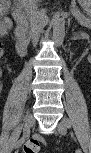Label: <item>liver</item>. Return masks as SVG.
Here are the masks:
<instances>
[{
	"instance_id": "6515ba94",
	"label": "liver",
	"mask_w": 91,
	"mask_h": 153,
	"mask_svg": "<svg viewBox=\"0 0 91 153\" xmlns=\"http://www.w3.org/2000/svg\"><path fill=\"white\" fill-rule=\"evenodd\" d=\"M2 3L4 2H7L6 4L9 5L10 4V1L7 0V1H1ZM27 5L30 6V10L33 11V12H36V8H37V1L36 0H26L23 2V6L26 7Z\"/></svg>"
}]
</instances>
